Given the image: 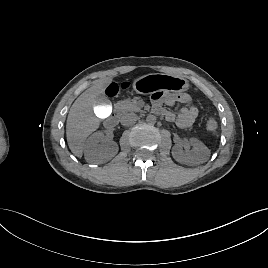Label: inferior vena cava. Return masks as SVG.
<instances>
[{
    "instance_id": "obj_1",
    "label": "inferior vena cava",
    "mask_w": 268,
    "mask_h": 268,
    "mask_svg": "<svg viewBox=\"0 0 268 268\" xmlns=\"http://www.w3.org/2000/svg\"><path fill=\"white\" fill-rule=\"evenodd\" d=\"M138 119V116L135 113H127L121 118V124L123 126L133 125Z\"/></svg>"
}]
</instances>
